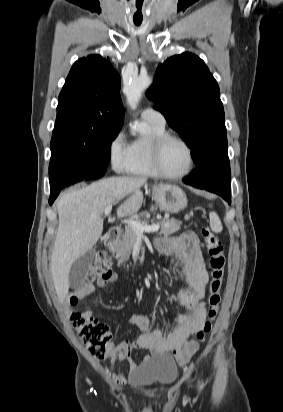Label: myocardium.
I'll list each match as a JSON object with an SVG mask.
<instances>
[{
    "label": "myocardium",
    "mask_w": 283,
    "mask_h": 412,
    "mask_svg": "<svg viewBox=\"0 0 283 412\" xmlns=\"http://www.w3.org/2000/svg\"><path fill=\"white\" fill-rule=\"evenodd\" d=\"M172 140L180 142L187 149L188 154H189V165L185 171L179 174L168 173L163 170L162 165H161V154H162L163 148L167 142L172 141ZM152 163L157 172V175L160 177L168 178V179L184 178L192 172L195 166V155H194L193 147L190 145V143L186 139H184L180 135H177L174 133H164L160 135L159 137H157L153 142Z\"/></svg>",
    "instance_id": "myocardium-1"
}]
</instances>
